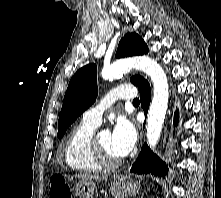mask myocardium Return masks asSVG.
I'll list each match as a JSON object with an SVG mask.
<instances>
[{"mask_svg":"<svg viewBox=\"0 0 221 198\" xmlns=\"http://www.w3.org/2000/svg\"><path fill=\"white\" fill-rule=\"evenodd\" d=\"M91 145L94 156L102 167L115 168L122 164L123 160L121 158H113L105 151L99 143L98 135L95 133L92 136Z\"/></svg>","mask_w":221,"mask_h":198,"instance_id":"f54148a6","label":"myocardium"}]
</instances>
